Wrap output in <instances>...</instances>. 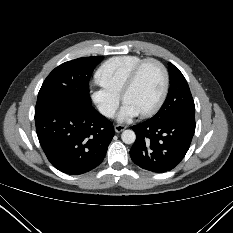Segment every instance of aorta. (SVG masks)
<instances>
[{
    "instance_id": "aorta-1",
    "label": "aorta",
    "mask_w": 233,
    "mask_h": 233,
    "mask_svg": "<svg viewBox=\"0 0 233 233\" xmlns=\"http://www.w3.org/2000/svg\"><path fill=\"white\" fill-rule=\"evenodd\" d=\"M121 139L125 144H132L136 139L135 132L132 130H124L121 134Z\"/></svg>"
}]
</instances>
